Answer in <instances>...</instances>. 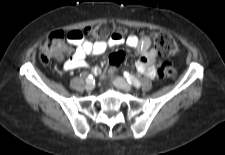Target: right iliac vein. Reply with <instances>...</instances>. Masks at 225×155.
I'll use <instances>...</instances> for the list:
<instances>
[{
	"instance_id": "right-iliac-vein-1",
	"label": "right iliac vein",
	"mask_w": 225,
	"mask_h": 155,
	"mask_svg": "<svg viewBox=\"0 0 225 155\" xmlns=\"http://www.w3.org/2000/svg\"><path fill=\"white\" fill-rule=\"evenodd\" d=\"M85 88L87 91H91L94 88V84L92 82H88V83H86Z\"/></svg>"
}]
</instances>
